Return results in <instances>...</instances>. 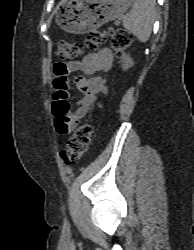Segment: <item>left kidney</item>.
<instances>
[{
  "label": "left kidney",
  "instance_id": "1",
  "mask_svg": "<svg viewBox=\"0 0 194 250\" xmlns=\"http://www.w3.org/2000/svg\"><path fill=\"white\" fill-rule=\"evenodd\" d=\"M134 62L129 55L123 56V70H127L128 68L132 67Z\"/></svg>",
  "mask_w": 194,
  "mask_h": 250
}]
</instances>
